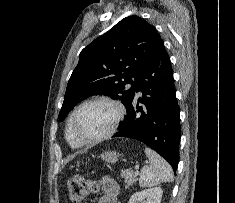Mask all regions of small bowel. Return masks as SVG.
Instances as JSON below:
<instances>
[{
  "label": "small bowel",
  "mask_w": 235,
  "mask_h": 203,
  "mask_svg": "<svg viewBox=\"0 0 235 203\" xmlns=\"http://www.w3.org/2000/svg\"><path fill=\"white\" fill-rule=\"evenodd\" d=\"M103 195L100 197L98 203H117L119 193L118 183L111 177H104L102 179Z\"/></svg>",
  "instance_id": "1"
}]
</instances>
